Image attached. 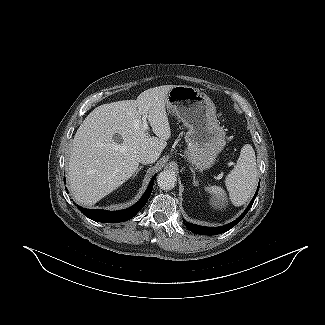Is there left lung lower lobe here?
Wrapping results in <instances>:
<instances>
[{
    "label": "left lung lower lobe",
    "mask_w": 325,
    "mask_h": 325,
    "mask_svg": "<svg viewBox=\"0 0 325 325\" xmlns=\"http://www.w3.org/2000/svg\"><path fill=\"white\" fill-rule=\"evenodd\" d=\"M259 185H260V182H259ZM259 185H258L257 191H256L253 199L251 200L250 204L248 205L246 210L235 221H233L227 225L220 226V227H204V226H198L195 224H190L183 220L185 226L193 233L200 234V235H217V234H221V233H224V232L230 230L247 214V212L251 208V206L256 198V195L258 193Z\"/></svg>",
    "instance_id": "obj_1"
}]
</instances>
